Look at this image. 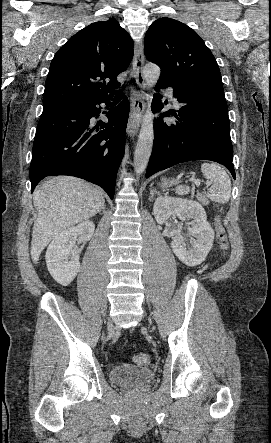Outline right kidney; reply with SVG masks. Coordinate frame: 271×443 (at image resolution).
Segmentation results:
<instances>
[{"label": "right kidney", "mask_w": 271, "mask_h": 443, "mask_svg": "<svg viewBox=\"0 0 271 443\" xmlns=\"http://www.w3.org/2000/svg\"><path fill=\"white\" fill-rule=\"evenodd\" d=\"M94 229L95 223L87 220L55 235L45 255L47 267L55 281L61 285H69L73 281L79 271L81 253V247H75V243L78 239L82 241L91 239Z\"/></svg>", "instance_id": "obj_1"}]
</instances>
